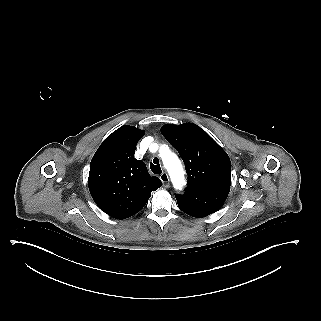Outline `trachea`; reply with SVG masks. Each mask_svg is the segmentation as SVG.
I'll return each mask as SVG.
<instances>
[{"label":"trachea","instance_id":"obj_1","mask_svg":"<svg viewBox=\"0 0 321 321\" xmlns=\"http://www.w3.org/2000/svg\"><path fill=\"white\" fill-rule=\"evenodd\" d=\"M150 169L154 174H161L162 170L160 167L159 160L155 158L151 163H150Z\"/></svg>","mask_w":321,"mask_h":321}]
</instances>
